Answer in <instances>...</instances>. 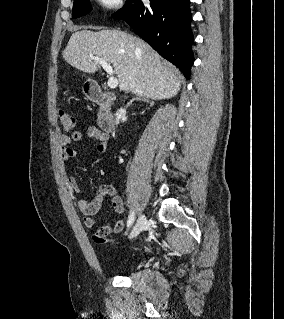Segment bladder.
Segmentation results:
<instances>
[{
  "label": "bladder",
  "mask_w": 284,
  "mask_h": 319,
  "mask_svg": "<svg viewBox=\"0 0 284 319\" xmlns=\"http://www.w3.org/2000/svg\"><path fill=\"white\" fill-rule=\"evenodd\" d=\"M134 264H135V261H134V260H129V261H127V262L124 263L123 267H124L125 269H128V268H131L132 266H134Z\"/></svg>",
  "instance_id": "obj_1"
}]
</instances>
